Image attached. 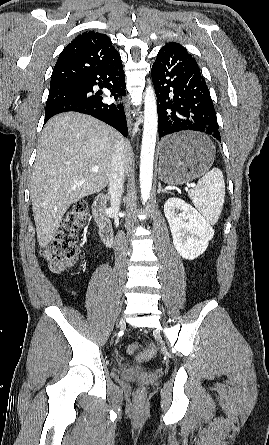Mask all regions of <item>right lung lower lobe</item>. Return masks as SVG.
Returning a JSON list of instances; mask_svg holds the SVG:
<instances>
[{
	"label": "right lung lower lobe",
	"mask_w": 269,
	"mask_h": 445,
	"mask_svg": "<svg viewBox=\"0 0 269 445\" xmlns=\"http://www.w3.org/2000/svg\"><path fill=\"white\" fill-rule=\"evenodd\" d=\"M75 85L77 90L69 99L55 104L45 112L44 123L58 113L75 111L91 115L113 126L127 137L128 128L123 104H105L101 94H93V86L98 85L107 88L115 100L126 95L121 58L87 74Z\"/></svg>",
	"instance_id": "1"
}]
</instances>
